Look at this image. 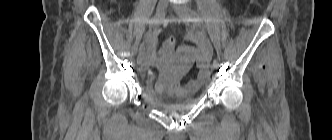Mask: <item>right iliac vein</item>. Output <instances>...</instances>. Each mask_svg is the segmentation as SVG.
<instances>
[{
    "mask_svg": "<svg viewBox=\"0 0 332 140\" xmlns=\"http://www.w3.org/2000/svg\"><path fill=\"white\" fill-rule=\"evenodd\" d=\"M168 5V0H159L157 4V9H156V15L158 17H161L164 13V10L166 9ZM145 58V44L141 43L139 47V54L137 57V63L141 64Z\"/></svg>",
    "mask_w": 332,
    "mask_h": 140,
    "instance_id": "1",
    "label": "right iliac vein"
}]
</instances>
